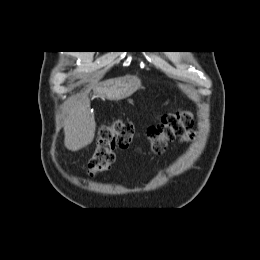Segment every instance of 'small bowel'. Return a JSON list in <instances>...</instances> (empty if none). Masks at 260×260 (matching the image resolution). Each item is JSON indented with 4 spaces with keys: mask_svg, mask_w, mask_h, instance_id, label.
I'll return each mask as SVG.
<instances>
[{
    "mask_svg": "<svg viewBox=\"0 0 260 260\" xmlns=\"http://www.w3.org/2000/svg\"><path fill=\"white\" fill-rule=\"evenodd\" d=\"M196 132L194 130H189L184 136H182V142H191L195 139Z\"/></svg>",
    "mask_w": 260,
    "mask_h": 260,
    "instance_id": "1",
    "label": "small bowel"
}]
</instances>
